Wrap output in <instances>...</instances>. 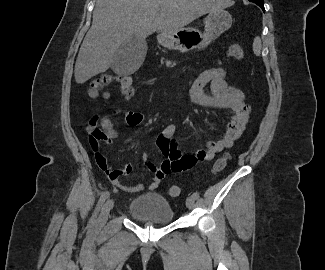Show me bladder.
I'll use <instances>...</instances> for the list:
<instances>
[{"label":"bladder","instance_id":"1","mask_svg":"<svg viewBox=\"0 0 325 270\" xmlns=\"http://www.w3.org/2000/svg\"><path fill=\"white\" fill-rule=\"evenodd\" d=\"M128 213L132 218L152 224H168L174 219L170 203L156 193L135 197L128 206Z\"/></svg>","mask_w":325,"mask_h":270}]
</instances>
